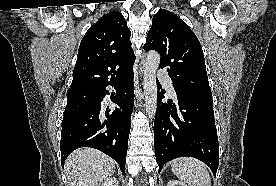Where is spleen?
Here are the masks:
<instances>
[{"mask_svg": "<svg viewBox=\"0 0 276 186\" xmlns=\"http://www.w3.org/2000/svg\"><path fill=\"white\" fill-rule=\"evenodd\" d=\"M173 173L189 186H211V178L207 167L201 161L182 157L171 162Z\"/></svg>", "mask_w": 276, "mask_h": 186, "instance_id": "spleen-1", "label": "spleen"}]
</instances>
